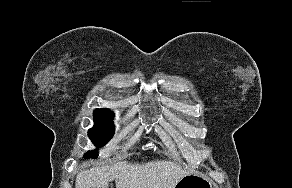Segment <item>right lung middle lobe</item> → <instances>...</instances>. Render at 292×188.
<instances>
[{"label":"right lung middle lobe","mask_w":292,"mask_h":188,"mask_svg":"<svg viewBox=\"0 0 292 188\" xmlns=\"http://www.w3.org/2000/svg\"><path fill=\"white\" fill-rule=\"evenodd\" d=\"M114 113L109 109H96L94 111V127L88 132L91 141L98 147L105 145L114 134L113 126ZM98 152H87L85 157H97Z\"/></svg>","instance_id":"obj_1"}]
</instances>
